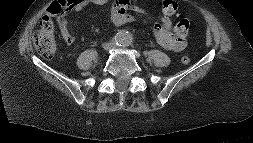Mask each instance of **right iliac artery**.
Listing matches in <instances>:
<instances>
[{"label": "right iliac artery", "instance_id": "obj_1", "mask_svg": "<svg viewBox=\"0 0 253 143\" xmlns=\"http://www.w3.org/2000/svg\"><path fill=\"white\" fill-rule=\"evenodd\" d=\"M117 45H119V43L117 41H115Z\"/></svg>", "mask_w": 253, "mask_h": 143}]
</instances>
